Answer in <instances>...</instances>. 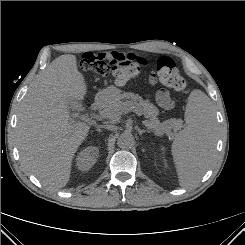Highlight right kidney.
<instances>
[{
	"label": "right kidney",
	"mask_w": 245,
	"mask_h": 245,
	"mask_svg": "<svg viewBox=\"0 0 245 245\" xmlns=\"http://www.w3.org/2000/svg\"><path fill=\"white\" fill-rule=\"evenodd\" d=\"M99 149L97 147H87L83 149L76 158V166L79 170H89L97 161Z\"/></svg>",
	"instance_id": "ca27d5eb"
}]
</instances>
